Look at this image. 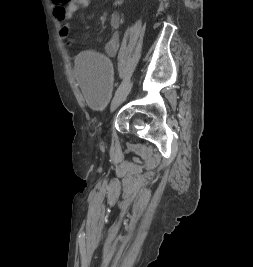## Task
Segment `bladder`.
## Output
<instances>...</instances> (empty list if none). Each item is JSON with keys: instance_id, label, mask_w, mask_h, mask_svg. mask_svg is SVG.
Listing matches in <instances>:
<instances>
[{"instance_id": "obj_1", "label": "bladder", "mask_w": 253, "mask_h": 267, "mask_svg": "<svg viewBox=\"0 0 253 267\" xmlns=\"http://www.w3.org/2000/svg\"><path fill=\"white\" fill-rule=\"evenodd\" d=\"M74 76L91 108L102 111L113 88L109 59L99 52H81L75 60Z\"/></svg>"}]
</instances>
